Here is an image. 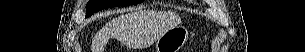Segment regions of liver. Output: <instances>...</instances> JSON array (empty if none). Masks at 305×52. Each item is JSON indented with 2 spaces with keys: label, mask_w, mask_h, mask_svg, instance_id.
<instances>
[{
  "label": "liver",
  "mask_w": 305,
  "mask_h": 52,
  "mask_svg": "<svg viewBox=\"0 0 305 52\" xmlns=\"http://www.w3.org/2000/svg\"><path fill=\"white\" fill-rule=\"evenodd\" d=\"M145 17L140 12L123 14L109 21L102 27L92 40V52H103L110 38L122 39L133 32H139L144 26ZM180 24V18L174 13H168L160 21L156 35L152 41H156L167 30Z\"/></svg>",
  "instance_id": "liver-1"
}]
</instances>
